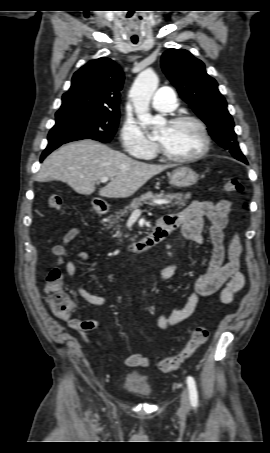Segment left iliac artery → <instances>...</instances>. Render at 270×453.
I'll return each instance as SVG.
<instances>
[{
	"instance_id": "left-iliac-artery-1",
	"label": "left iliac artery",
	"mask_w": 270,
	"mask_h": 453,
	"mask_svg": "<svg viewBox=\"0 0 270 453\" xmlns=\"http://www.w3.org/2000/svg\"><path fill=\"white\" fill-rule=\"evenodd\" d=\"M187 385L189 389L190 401L193 407L198 405V392L196 387V382L192 376L187 377Z\"/></svg>"
}]
</instances>
